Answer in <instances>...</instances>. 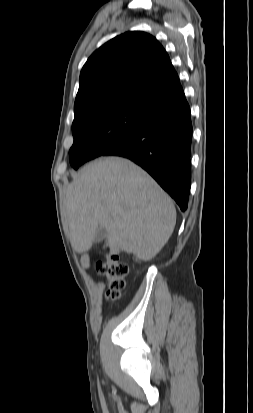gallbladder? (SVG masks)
Listing matches in <instances>:
<instances>
[{
  "instance_id": "obj_1",
  "label": "gallbladder",
  "mask_w": 253,
  "mask_h": 413,
  "mask_svg": "<svg viewBox=\"0 0 253 413\" xmlns=\"http://www.w3.org/2000/svg\"><path fill=\"white\" fill-rule=\"evenodd\" d=\"M108 235L107 230L104 227H98L94 236V242L99 243L102 242Z\"/></svg>"
}]
</instances>
